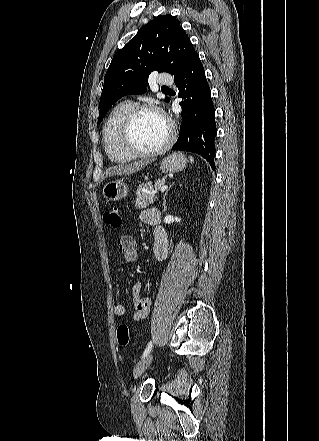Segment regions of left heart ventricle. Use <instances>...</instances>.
I'll return each mask as SVG.
<instances>
[{
    "label": "left heart ventricle",
    "instance_id": "b2bd125f",
    "mask_svg": "<svg viewBox=\"0 0 319 441\" xmlns=\"http://www.w3.org/2000/svg\"><path fill=\"white\" fill-rule=\"evenodd\" d=\"M168 128L163 118L154 112H142L136 118L132 132V143L139 149L150 151L163 144Z\"/></svg>",
    "mask_w": 319,
    "mask_h": 441
}]
</instances>
